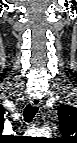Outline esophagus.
<instances>
[{"label": "esophagus", "instance_id": "1", "mask_svg": "<svg viewBox=\"0 0 77 143\" xmlns=\"http://www.w3.org/2000/svg\"><path fill=\"white\" fill-rule=\"evenodd\" d=\"M30 103H31L32 106L39 107L40 104H41V100L38 99V98H33V99L30 101Z\"/></svg>", "mask_w": 77, "mask_h": 143}]
</instances>
